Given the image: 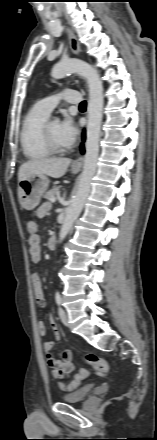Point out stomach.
I'll return each mask as SVG.
<instances>
[{"mask_svg":"<svg viewBox=\"0 0 157 440\" xmlns=\"http://www.w3.org/2000/svg\"><path fill=\"white\" fill-rule=\"evenodd\" d=\"M78 171V169H72L73 173ZM49 183V178L44 174H33L19 181L17 194L21 207L26 210H33L37 207Z\"/></svg>","mask_w":157,"mask_h":440,"instance_id":"stomach-1","label":"stomach"}]
</instances>
